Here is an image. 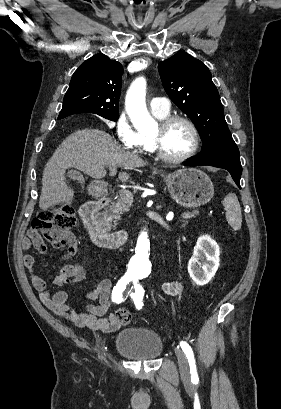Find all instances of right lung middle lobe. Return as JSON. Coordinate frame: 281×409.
<instances>
[{
  "mask_svg": "<svg viewBox=\"0 0 281 409\" xmlns=\"http://www.w3.org/2000/svg\"><path fill=\"white\" fill-rule=\"evenodd\" d=\"M100 116H102V117H104L106 119H109L111 121H117L118 118H119V114H102Z\"/></svg>",
  "mask_w": 281,
  "mask_h": 409,
  "instance_id": "dd1d6c3e",
  "label": "right lung middle lobe"
}]
</instances>
